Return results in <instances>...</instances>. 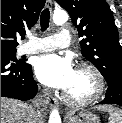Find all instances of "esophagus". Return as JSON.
Masks as SVG:
<instances>
[{
    "label": "esophagus",
    "instance_id": "34e87169",
    "mask_svg": "<svg viewBox=\"0 0 122 123\" xmlns=\"http://www.w3.org/2000/svg\"><path fill=\"white\" fill-rule=\"evenodd\" d=\"M46 7L49 9L52 7V1L51 0L46 1ZM47 102H48L50 108H54V107L58 106V101L54 97H48Z\"/></svg>",
    "mask_w": 122,
    "mask_h": 123
}]
</instances>
